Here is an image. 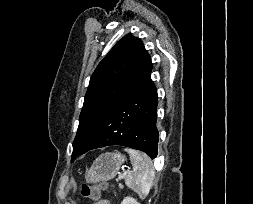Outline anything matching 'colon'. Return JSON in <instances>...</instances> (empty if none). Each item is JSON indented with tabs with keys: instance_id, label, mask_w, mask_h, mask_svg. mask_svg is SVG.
I'll return each mask as SVG.
<instances>
[{
	"instance_id": "colon-1",
	"label": "colon",
	"mask_w": 253,
	"mask_h": 204,
	"mask_svg": "<svg viewBox=\"0 0 253 204\" xmlns=\"http://www.w3.org/2000/svg\"><path fill=\"white\" fill-rule=\"evenodd\" d=\"M102 186L97 184H83L80 187V195L87 200H96L99 197Z\"/></svg>"
}]
</instances>
